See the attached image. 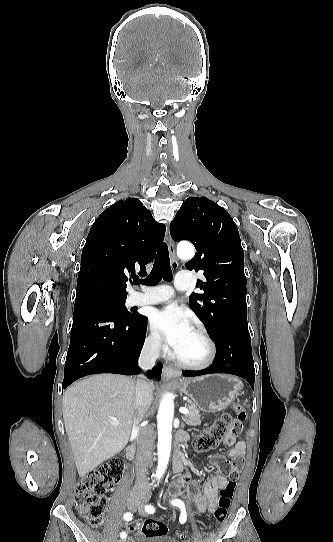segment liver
I'll use <instances>...</instances> for the list:
<instances>
[{
	"label": "liver",
	"instance_id": "1",
	"mask_svg": "<svg viewBox=\"0 0 333 542\" xmlns=\"http://www.w3.org/2000/svg\"><path fill=\"white\" fill-rule=\"evenodd\" d=\"M150 388H155L152 382ZM135 410V378L96 374L67 388L63 418L80 478L122 452L130 438ZM110 422H120V426Z\"/></svg>",
	"mask_w": 333,
	"mask_h": 542
}]
</instances>
